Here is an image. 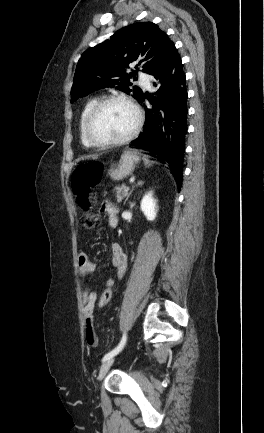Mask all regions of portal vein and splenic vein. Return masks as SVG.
Returning <instances> with one entry per match:
<instances>
[{
	"label": "portal vein and splenic vein",
	"mask_w": 264,
	"mask_h": 433,
	"mask_svg": "<svg viewBox=\"0 0 264 433\" xmlns=\"http://www.w3.org/2000/svg\"><path fill=\"white\" fill-rule=\"evenodd\" d=\"M129 190V187H124V191L127 193Z\"/></svg>",
	"instance_id": "1"
}]
</instances>
